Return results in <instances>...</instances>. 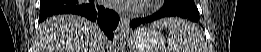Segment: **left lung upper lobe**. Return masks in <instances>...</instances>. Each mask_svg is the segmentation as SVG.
Wrapping results in <instances>:
<instances>
[{
	"mask_svg": "<svg viewBox=\"0 0 261 52\" xmlns=\"http://www.w3.org/2000/svg\"><path fill=\"white\" fill-rule=\"evenodd\" d=\"M166 7L183 6L198 12L193 0H166Z\"/></svg>",
	"mask_w": 261,
	"mask_h": 52,
	"instance_id": "5c2ea615",
	"label": "left lung upper lobe"
}]
</instances>
